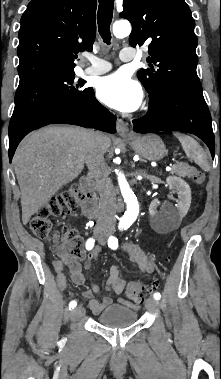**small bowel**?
<instances>
[{
  "label": "small bowel",
  "instance_id": "1",
  "mask_svg": "<svg viewBox=\"0 0 221 379\" xmlns=\"http://www.w3.org/2000/svg\"><path fill=\"white\" fill-rule=\"evenodd\" d=\"M123 250L128 254L130 260L137 264L139 269L143 273H152L154 270L153 263L148 258L146 253L135 243L127 242L123 245ZM100 249L98 247L94 248L92 252L89 253L87 260L84 263L85 269H90L92 262L98 257ZM58 255L60 260L54 262V266L57 272L58 284L64 289L67 285L66 278L63 274V263L67 265L71 273L72 281L77 285H82L85 282V277L82 273V265L78 259L67 256L63 249L58 250ZM128 286L126 280L121 278L120 270L117 265H112L109 269V275L106 282V291L108 293H113L115 295H120L123 293L125 288ZM100 291V287L97 284H92L91 288L84 292V297L88 299V306L94 314L101 313L106 307L112 303V298L110 296H105L101 300H97L94 297L95 293ZM120 302L127 303L125 300L121 299Z\"/></svg>",
  "mask_w": 221,
  "mask_h": 379
}]
</instances>
